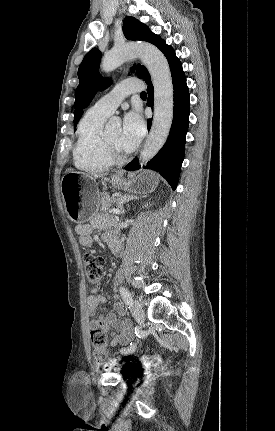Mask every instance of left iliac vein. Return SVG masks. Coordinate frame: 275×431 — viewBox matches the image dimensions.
Listing matches in <instances>:
<instances>
[{
	"label": "left iliac vein",
	"mask_w": 275,
	"mask_h": 431,
	"mask_svg": "<svg viewBox=\"0 0 275 431\" xmlns=\"http://www.w3.org/2000/svg\"><path fill=\"white\" fill-rule=\"evenodd\" d=\"M131 312L137 321H139V322L144 321L145 312L142 308L141 303L138 300L132 301Z\"/></svg>",
	"instance_id": "1"
}]
</instances>
